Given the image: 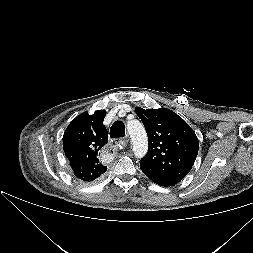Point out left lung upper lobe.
I'll list each match as a JSON object with an SVG mask.
<instances>
[{"label": "left lung upper lobe", "mask_w": 253, "mask_h": 253, "mask_svg": "<svg viewBox=\"0 0 253 253\" xmlns=\"http://www.w3.org/2000/svg\"><path fill=\"white\" fill-rule=\"evenodd\" d=\"M148 136V152L140 160L142 172L153 182L171 186L191 170L199 142L192 128L176 113L167 109L136 108Z\"/></svg>", "instance_id": "left-lung-upper-lobe-1"}]
</instances>
